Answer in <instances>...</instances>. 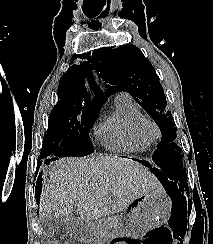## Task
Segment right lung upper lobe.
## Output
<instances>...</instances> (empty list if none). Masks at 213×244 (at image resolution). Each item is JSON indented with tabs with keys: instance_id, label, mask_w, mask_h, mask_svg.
I'll list each match as a JSON object with an SVG mask.
<instances>
[{
	"instance_id": "right-lung-upper-lobe-1",
	"label": "right lung upper lobe",
	"mask_w": 213,
	"mask_h": 244,
	"mask_svg": "<svg viewBox=\"0 0 213 244\" xmlns=\"http://www.w3.org/2000/svg\"><path fill=\"white\" fill-rule=\"evenodd\" d=\"M96 64L82 62L73 65L62 76L58 89L59 101L54 108L66 106H85L101 109L106 101L100 87L97 86L92 71Z\"/></svg>"
}]
</instances>
